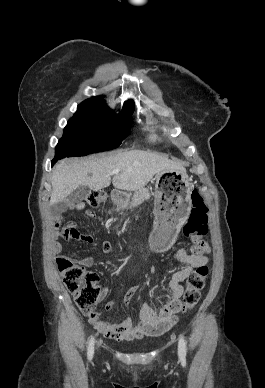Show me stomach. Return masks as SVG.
<instances>
[{
    "label": "stomach",
    "mask_w": 265,
    "mask_h": 388,
    "mask_svg": "<svg viewBox=\"0 0 265 388\" xmlns=\"http://www.w3.org/2000/svg\"><path fill=\"white\" fill-rule=\"evenodd\" d=\"M154 215L156 225L151 242L157 251L168 250L188 218L191 208L192 185L186 171L167 170L156 174ZM126 205L125 200L120 206Z\"/></svg>",
    "instance_id": "obj_1"
}]
</instances>
